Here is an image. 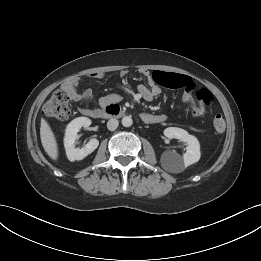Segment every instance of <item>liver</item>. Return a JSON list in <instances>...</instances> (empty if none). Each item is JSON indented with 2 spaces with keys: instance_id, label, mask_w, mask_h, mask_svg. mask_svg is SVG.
Segmentation results:
<instances>
[{
  "instance_id": "liver-1",
  "label": "liver",
  "mask_w": 261,
  "mask_h": 261,
  "mask_svg": "<svg viewBox=\"0 0 261 261\" xmlns=\"http://www.w3.org/2000/svg\"><path fill=\"white\" fill-rule=\"evenodd\" d=\"M40 138L42 146L48 156L56 160L58 158V146L55 135L44 118L41 119Z\"/></svg>"
}]
</instances>
